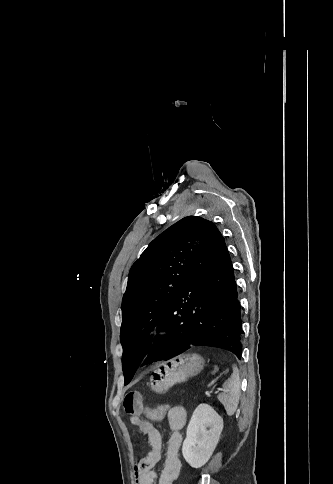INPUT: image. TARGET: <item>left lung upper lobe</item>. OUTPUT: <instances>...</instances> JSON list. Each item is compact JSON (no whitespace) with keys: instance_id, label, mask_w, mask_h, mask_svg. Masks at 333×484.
<instances>
[{"instance_id":"left-lung-upper-lobe-1","label":"left lung upper lobe","mask_w":333,"mask_h":484,"mask_svg":"<svg viewBox=\"0 0 333 484\" xmlns=\"http://www.w3.org/2000/svg\"><path fill=\"white\" fill-rule=\"evenodd\" d=\"M212 224L195 216L181 219L157 236L131 267L120 330L125 385L146 358L148 334Z\"/></svg>"}]
</instances>
